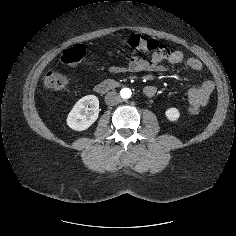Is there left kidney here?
I'll use <instances>...</instances> for the list:
<instances>
[{
    "label": "left kidney",
    "mask_w": 236,
    "mask_h": 236,
    "mask_svg": "<svg viewBox=\"0 0 236 236\" xmlns=\"http://www.w3.org/2000/svg\"><path fill=\"white\" fill-rule=\"evenodd\" d=\"M165 115H166L167 119L170 121H177L180 117L179 110L174 107L168 108L165 111Z\"/></svg>",
    "instance_id": "left-kidney-1"
}]
</instances>
